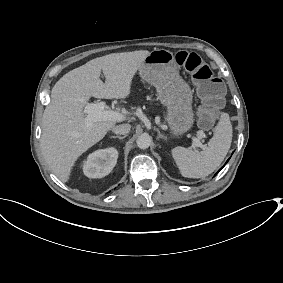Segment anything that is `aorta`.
Listing matches in <instances>:
<instances>
[{
  "instance_id": "aorta-1",
  "label": "aorta",
  "mask_w": 283,
  "mask_h": 283,
  "mask_svg": "<svg viewBox=\"0 0 283 283\" xmlns=\"http://www.w3.org/2000/svg\"><path fill=\"white\" fill-rule=\"evenodd\" d=\"M151 142H152L151 136L146 133L138 136L136 140V144L140 149H147L151 145Z\"/></svg>"
}]
</instances>
